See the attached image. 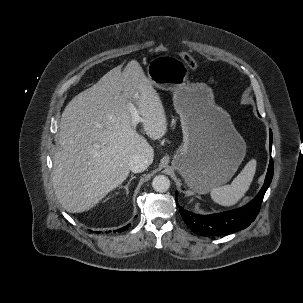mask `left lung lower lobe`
I'll list each match as a JSON object with an SVG mask.
<instances>
[{"label": "left lung lower lobe", "mask_w": 303, "mask_h": 303, "mask_svg": "<svg viewBox=\"0 0 303 303\" xmlns=\"http://www.w3.org/2000/svg\"><path fill=\"white\" fill-rule=\"evenodd\" d=\"M272 132L270 130V149ZM273 161L270 159L264 185L258 195L247 205L232 211L212 215H199L184 210L178 204L180 214L187 226L196 234L203 236L228 235L248 227L258 215L266 190L273 177Z\"/></svg>", "instance_id": "0a47b994"}]
</instances>
